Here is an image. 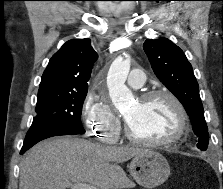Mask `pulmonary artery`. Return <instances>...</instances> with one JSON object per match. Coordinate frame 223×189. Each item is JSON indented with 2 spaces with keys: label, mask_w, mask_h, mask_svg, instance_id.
<instances>
[{
  "label": "pulmonary artery",
  "mask_w": 223,
  "mask_h": 189,
  "mask_svg": "<svg viewBox=\"0 0 223 189\" xmlns=\"http://www.w3.org/2000/svg\"><path fill=\"white\" fill-rule=\"evenodd\" d=\"M144 83L145 73L141 69H133L127 78V84L133 88H140Z\"/></svg>",
  "instance_id": "1"
}]
</instances>
